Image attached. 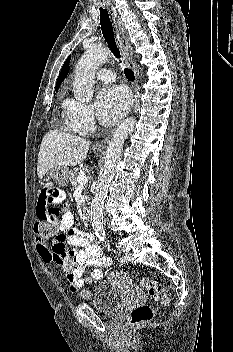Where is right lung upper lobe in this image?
<instances>
[{"label": "right lung upper lobe", "mask_w": 233, "mask_h": 352, "mask_svg": "<svg viewBox=\"0 0 233 352\" xmlns=\"http://www.w3.org/2000/svg\"><path fill=\"white\" fill-rule=\"evenodd\" d=\"M70 59H71V56H69L62 69H61V72L58 76V79H57V84H56V90L59 88V85L63 82L64 78L67 76L68 72H69V62H70Z\"/></svg>", "instance_id": "obj_1"}]
</instances>
